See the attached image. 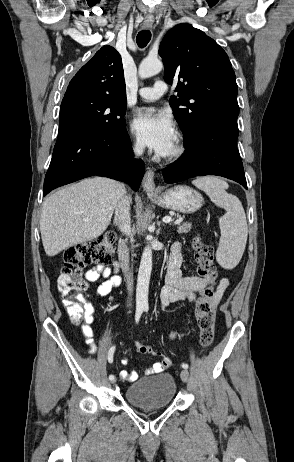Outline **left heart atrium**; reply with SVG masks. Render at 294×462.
Masks as SVG:
<instances>
[{
    "mask_svg": "<svg viewBox=\"0 0 294 462\" xmlns=\"http://www.w3.org/2000/svg\"><path fill=\"white\" fill-rule=\"evenodd\" d=\"M132 129L148 147L162 156L169 152L176 141L171 118L153 108L137 112L132 121Z\"/></svg>",
    "mask_w": 294,
    "mask_h": 462,
    "instance_id": "left-heart-atrium-1",
    "label": "left heart atrium"
}]
</instances>
